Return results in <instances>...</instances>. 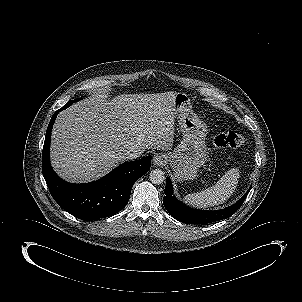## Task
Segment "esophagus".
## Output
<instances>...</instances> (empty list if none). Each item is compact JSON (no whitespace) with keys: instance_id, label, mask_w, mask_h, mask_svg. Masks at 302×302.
<instances>
[{"instance_id":"1","label":"esophagus","mask_w":302,"mask_h":302,"mask_svg":"<svg viewBox=\"0 0 302 302\" xmlns=\"http://www.w3.org/2000/svg\"><path fill=\"white\" fill-rule=\"evenodd\" d=\"M153 165L162 166L166 163V157L162 154H155L152 159Z\"/></svg>"}]
</instances>
